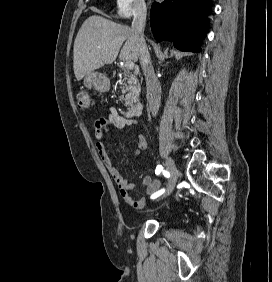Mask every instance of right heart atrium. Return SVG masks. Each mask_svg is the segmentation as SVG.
Returning <instances> with one entry per match:
<instances>
[{
	"label": "right heart atrium",
	"mask_w": 272,
	"mask_h": 282,
	"mask_svg": "<svg viewBox=\"0 0 272 282\" xmlns=\"http://www.w3.org/2000/svg\"><path fill=\"white\" fill-rule=\"evenodd\" d=\"M114 13L120 19H129L146 10L145 0H115Z\"/></svg>",
	"instance_id": "1"
}]
</instances>
